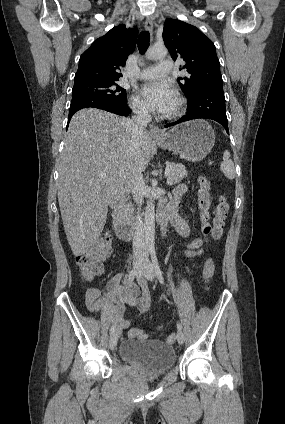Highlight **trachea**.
Returning a JSON list of instances; mask_svg holds the SVG:
<instances>
[{"instance_id": "1", "label": "trachea", "mask_w": 285, "mask_h": 424, "mask_svg": "<svg viewBox=\"0 0 285 424\" xmlns=\"http://www.w3.org/2000/svg\"><path fill=\"white\" fill-rule=\"evenodd\" d=\"M150 42V34L148 31H143L140 33L138 38V49L141 54H143Z\"/></svg>"}]
</instances>
